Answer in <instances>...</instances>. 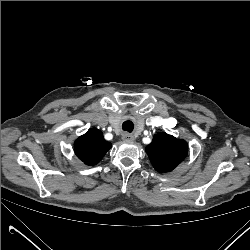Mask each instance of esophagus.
I'll list each match as a JSON object with an SVG mask.
<instances>
[{"mask_svg":"<svg viewBox=\"0 0 250 250\" xmlns=\"http://www.w3.org/2000/svg\"><path fill=\"white\" fill-rule=\"evenodd\" d=\"M122 139L126 142H133L134 141V136L129 133H123Z\"/></svg>","mask_w":250,"mask_h":250,"instance_id":"esophagus-1","label":"esophagus"}]
</instances>
